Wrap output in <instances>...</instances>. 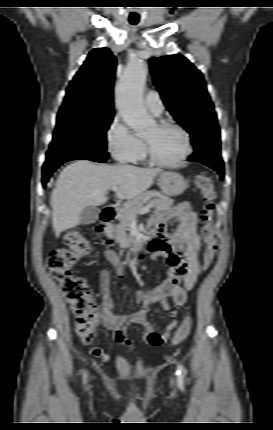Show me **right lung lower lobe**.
I'll return each instance as SVG.
<instances>
[{
    "label": "right lung lower lobe",
    "mask_w": 273,
    "mask_h": 430,
    "mask_svg": "<svg viewBox=\"0 0 273 430\" xmlns=\"http://www.w3.org/2000/svg\"><path fill=\"white\" fill-rule=\"evenodd\" d=\"M108 158V153L105 152L104 154L96 155L93 157H88L86 159L95 161V162H105ZM63 163L57 164L55 166L49 167V168H43V179L42 183L45 186L47 181L49 180V177L52 175V173Z\"/></svg>",
    "instance_id": "98d812e1"
}]
</instances>
